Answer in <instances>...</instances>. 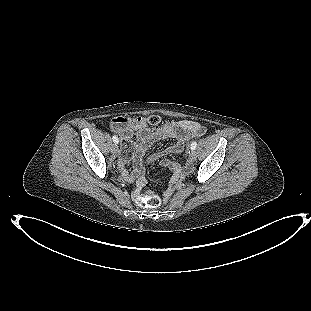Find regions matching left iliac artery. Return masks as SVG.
Returning a JSON list of instances; mask_svg holds the SVG:
<instances>
[{"instance_id": "obj_1", "label": "left iliac artery", "mask_w": 311, "mask_h": 311, "mask_svg": "<svg viewBox=\"0 0 311 311\" xmlns=\"http://www.w3.org/2000/svg\"><path fill=\"white\" fill-rule=\"evenodd\" d=\"M197 147V142L194 141L191 143V149L194 150Z\"/></svg>"}]
</instances>
